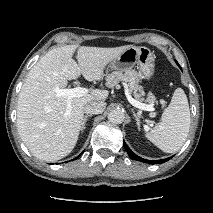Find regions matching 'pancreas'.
<instances>
[{"label": "pancreas", "instance_id": "obj_1", "mask_svg": "<svg viewBox=\"0 0 213 213\" xmlns=\"http://www.w3.org/2000/svg\"><path fill=\"white\" fill-rule=\"evenodd\" d=\"M140 77V74L135 70H125L124 73L122 71H115L106 76V86L108 88H113L120 81L128 82L129 92L133 93L137 100H143V98H141L143 87L138 85ZM154 100L155 96L152 93H149L147 101L153 103Z\"/></svg>", "mask_w": 213, "mask_h": 213}]
</instances>
